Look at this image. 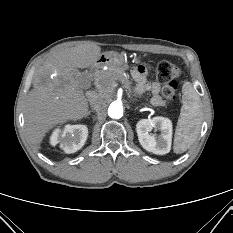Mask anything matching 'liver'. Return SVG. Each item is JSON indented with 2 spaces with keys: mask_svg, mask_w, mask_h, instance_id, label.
I'll use <instances>...</instances> for the list:
<instances>
[{
  "mask_svg": "<svg viewBox=\"0 0 233 233\" xmlns=\"http://www.w3.org/2000/svg\"><path fill=\"white\" fill-rule=\"evenodd\" d=\"M100 52L93 42L61 49L36 70L24 111L25 131L32 144L39 146L54 126L86 116L88 100L79 86L78 69L95 64Z\"/></svg>",
  "mask_w": 233,
  "mask_h": 233,
  "instance_id": "obj_1",
  "label": "liver"
}]
</instances>
